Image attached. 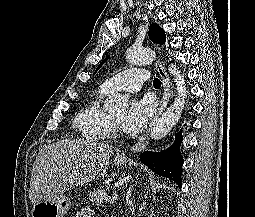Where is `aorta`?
<instances>
[{"label":"aorta","instance_id":"1","mask_svg":"<svg viewBox=\"0 0 255 217\" xmlns=\"http://www.w3.org/2000/svg\"><path fill=\"white\" fill-rule=\"evenodd\" d=\"M155 57V52L148 48L134 47L127 50L126 53L127 60L135 65L150 64L154 61ZM170 74L174 77L177 96L162 116L152 123L150 135L154 140L163 138L172 130L181 118L185 104L186 87L184 78L174 65H171ZM105 107L109 111L123 112L128 108V100L120 94L109 96Z\"/></svg>","mask_w":255,"mask_h":217}]
</instances>
